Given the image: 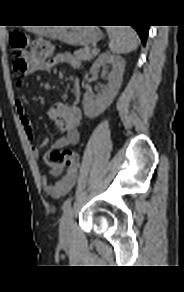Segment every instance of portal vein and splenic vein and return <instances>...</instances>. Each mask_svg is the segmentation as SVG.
<instances>
[{
  "instance_id": "obj_1",
  "label": "portal vein and splenic vein",
  "mask_w": 184,
  "mask_h": 292,
  "mask_svg": "<svg viewBox=\"0 0 184 292\" xmlns=\"http://www.w3.org/2000/svg\"><path fill=\"white\" fill-rule=\"evenodd\" d=\"M99 50H97V49H93V52H98Z\"/></svg>"
}]
</instances>
